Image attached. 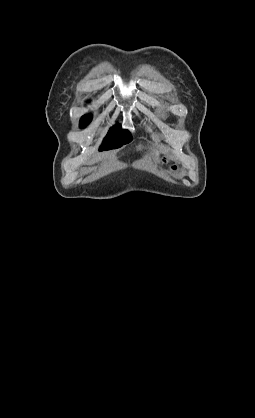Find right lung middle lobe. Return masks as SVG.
Returning <instances> with one entry per match:
<instances>
[{"mask_svg": "<svg viewBox=\"0 0 255 418\" xmlns=\"http://www.w3.org/2000/svg\"><path fill=\"white\" fill-rule=\"evenodd\" d=\"M90 121V115L83 116L80 121V127L84 128ZM131 140L132 136L130 132L128 130H123L119 125H116L109 130L99 150L119 148L122 145L129 143Z\"/></svg>", "mask_w": 255, "mask_h": 418, "instance_id": "dd1d6c3e", "label": "right lung middle lobe"}]
</instances>
